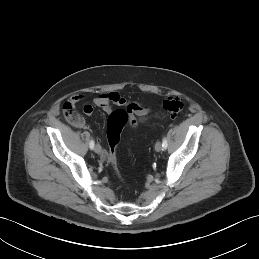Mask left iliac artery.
<instances>
[{
    "label": "left iliac artery",
    "mask_w": 259,
    "mask_h": 259,
    "mask_svg": "<svg viewBox=\"0 0 259 259\" xmlns=\"http://www.w3.org/2000/svg\"><path fill=\"white\" fill-rule=\"evenodd\" d=\"M167 146H168V143H167L166 138L164 137L163 140H162V147H163V149H166Z\"/></svg>",
    "instance_id": "left-iliac-artery-1"
}]
</instances>
